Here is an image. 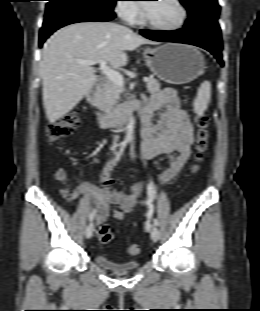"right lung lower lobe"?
I'll return each instance as SVG.
<instances>
[{
	"instance_id": "98d812e1",
	"label": "right lung lower lobe",
	"mask_w": 260,
	"mask_h": 311,
	"mask_svg": "<svg viewBox=\"0 0 260 311\" xmlns=\"http://www.w3.org/2000/svg\"><path fill=\"white\" fill-rule=\"evenodd\" d=\"M113 11L104 10L86 0H49L40 30L39 47L57 29L78 22L110 21Z\"/></svg>"
}]
</instances>
